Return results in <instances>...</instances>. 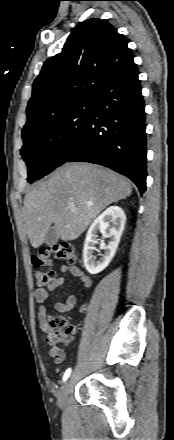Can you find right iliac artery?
<instances>
[{
	"label": "right iliac artery",
	"instance_id": "1",
	"mask_svg": "<svg viewBox=\"0 0 174 440\" xmlns=\"http://www.w3.org/2000/svg\"><path fill=\"white\" fill-rule=\"evenodd\" d=\"M70 373H71V369L69 368V369H67L66 372L64 373L63 381H66V380L68 379V377L70 376Z\"/></svg>",
	"mask_w": 174,
	"mask_h": 440
}]
</instances>
